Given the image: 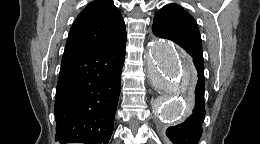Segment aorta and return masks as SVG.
<instances>
[{
	"mask_svg": "<svg viewBox=\"0 0 260 144\" xmlns=\"http://www.w3.org/2000/svg\"><path fill=\"white\" fill-rule=\"evenodd\" d=\"M147 58L152 84L170 92L155 101L160 119H183L189 111L186 91L193 73L189 56L170 41L154 39L147 49Z\"/></svg>",
	"mask_w": 260,
	"mask_h": 144,
	"instance_id": "obj_1",
	"label": "aorta"
}]
</instances>
